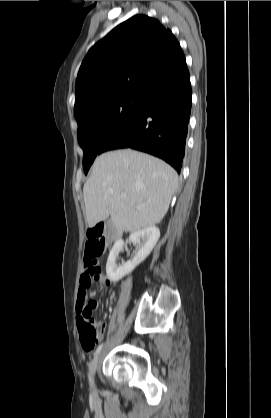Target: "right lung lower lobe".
I'll list each match as a JSON object with an SVG mask.
<instances>
[{"mask_svg": "<svg viewBox=\"0 0 271 418\" xmlns=\"http://www.w3.org/2000/svg\"><path fill=\"white\" fill-rule=\"evenodd\" d=\"M191 96L190 75L185 65L140 110L109 134L99 154L132 148L162 158L179 172L185 153Z\"/></svg>", "mask_w": 271, "mask_h": 418, "instance_id": "98d812e1", "label": "right lung lower lobe"}]
</instances>
